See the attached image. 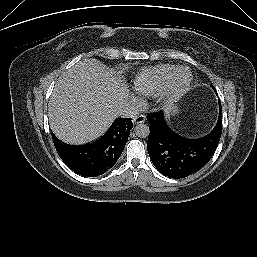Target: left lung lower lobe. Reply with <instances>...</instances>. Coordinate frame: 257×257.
Instances as JSON below:
<instances>
[{"label":"left lung lower lobe","mask_w":257,"mask_h":257,"mask_svg":"<svg viewBox=\"0 0 257 257\" xmlns=\"http://www.w3.org/2000/svg\"><path fill=\"white\" fill-rule=\"evenodd\" d=\"M215 127L200 138H186L166 122L163 112L147 115L150 123L147 149L156 169L169 178L187 177L204 167L213 156L222 133V108Z\"/></svg>","instance_id":"0a47b994"}]
</instances>
